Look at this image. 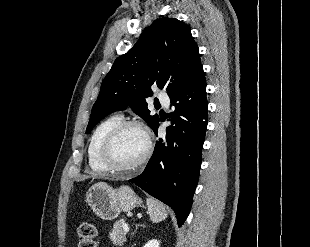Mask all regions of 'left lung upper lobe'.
Wrapping results in <instances>:
<instances>
[{"label":"left lung upper lobe","mask_w":310,"mask_h":247,"mask_svg":"<svg viewBox=\"0 0 310 247\" xmlns=\"http://www.w3.org/2000/svg\"><path fill=\"white\" fill-rule=\"evenodd\" d=\"M200 54L187 24L175 18L156 20L127 53L118 57L104 78L92 108L86 133L115 110H132L151 128L159 122L150 115L145 98L151 85L171 95L201 67Z\"/></svg>","instance_id":"1"}]
</instances>
